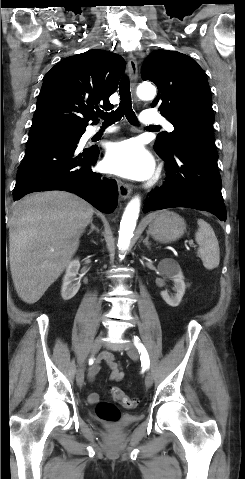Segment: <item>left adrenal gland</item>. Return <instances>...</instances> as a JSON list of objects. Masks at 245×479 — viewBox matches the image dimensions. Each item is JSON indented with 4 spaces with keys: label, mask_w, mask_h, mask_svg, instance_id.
<instances>
[{
    "label": "left adrenal gland",
    "mask_w": 245,
    "mask_h": 479,
    "mask_svg": "<svg viewBox=\"0 0 245 479\" xmlns=\"http://www.w3.org/2000/svg\"><path fill=\"white\" fill-rule=\"evenodd\" d=\"M148 239H149V237L146 236V238L143 240V243L145 244V246H146L148 249H150V243H149Z\"/></svg>",
    "instance_id": "obj_1"
}]
</instances>
